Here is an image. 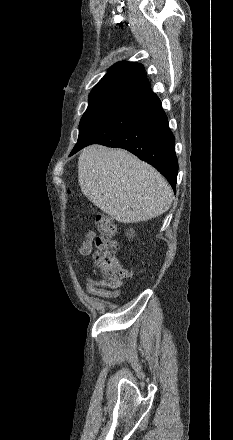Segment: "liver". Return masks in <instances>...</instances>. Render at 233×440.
Listing matches in <instances>:
<instances>
[{
    "label": "liver",
    "mask_w": 233,
    "mask_h": 440,
    "mask_svg": "<svg viewBox=\"0 0 233 440\" xmlns=\"http://www.w3.org/2000/svg\"><path fill=\"white\" fill-rule=\"evenodd\" d=\"M83 194L121 223L148 221L166 212L173 191L151 165L123 149L88 147L78 160Z\"/></svg>",
    "instance_id": "obj_1"
}]
</instances>
